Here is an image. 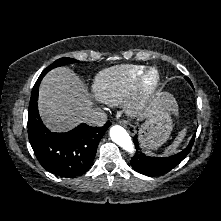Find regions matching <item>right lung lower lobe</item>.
I'll use <instances>...</instances> for the list:
<instances>
[{
	"label": "right lung lower lobe",
	"instance_id": "98d812e1",
	"mask_svg": "<svg viewBox=\"0 0 221 221\" xmlns=\"http://www.w3.org/2000/svg\"><path fill=\"white\" fill-rule=\"evenodd\" d=\"M41 80L36 81L29 103L30 144L43 168L60 177L74 178L91 167L98 144L111 124L92 127L82 123L67 133L51 132L42 123L37 108Z\"/></svg>",
	"mask_w": 221,
	"mask_h": 221
}]
</instances>
